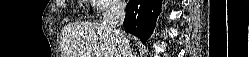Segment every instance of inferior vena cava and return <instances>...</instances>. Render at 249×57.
<instances>
[{
	"mask_svg": "<svg viewBox=\"0 0 249 57\" xmlns=\"http://www.w3.org/2000/svg\"><path fill=\"white\" fill-rule=\"evenodd\" d=\"M125 8V1L116 0L112 2L104 13L102 25L116 37V40L119 44V49L122 54L121 56L133 57L129 41L120 31V27L123 24L125 18Z\"/></svg>",
	"mask_w": 249,
	"mask_h": 57,
	"instance_id": "obj_1",
	"label": "inferior vena cava"
}]
</instances>
